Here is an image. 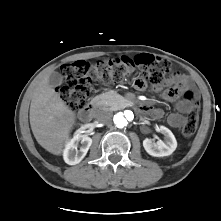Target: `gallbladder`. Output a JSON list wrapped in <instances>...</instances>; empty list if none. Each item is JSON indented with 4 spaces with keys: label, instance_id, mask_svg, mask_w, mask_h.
<instances>
[{
    "label": "gallbladder",
    "instance_id": "obj_1",
    "mask_svg": "<svg viewBox=\"0 0 221 221\" xmlns=\"http://www.w3.org/2000/svg\"><path fill=\"white\" fill-rule=\"evenodd\" d=\"M63 77L58 72H52L49 76V84L52 87H56L62 84Z\"/></svg>",
    "mask_w": 221,
    "mask_h": 221
}]
</instances>
